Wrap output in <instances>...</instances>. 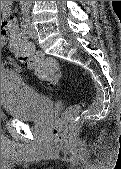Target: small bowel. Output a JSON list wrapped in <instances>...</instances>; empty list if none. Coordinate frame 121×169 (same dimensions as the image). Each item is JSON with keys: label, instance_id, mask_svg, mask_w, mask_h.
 Returning a JSON list of instances; mask_svg holds the SVG:
<instances>
[{"label": "small bowel", "instance_id": "1", "mask_svg": "<svg viewBox=\"0 0 121 169\" xmlns=\"http://www.w3.org/2000/svg\"><path fill=\"white\" fill-rule=\"evenodd\" d=\"M12 11V1H1V12L4 16L3 21L1 22V45H5L6 40L4 33L10 29H16L19 31L16 21L10 17Z\"/></svg>", "mask_w": 121, "mask_h": 169}]
</instances>
